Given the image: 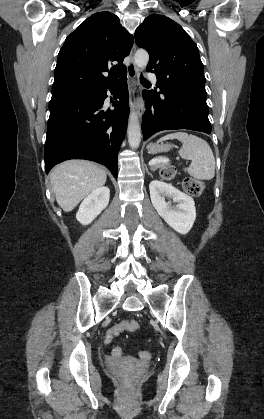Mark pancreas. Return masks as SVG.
<instances>
[{
    "instance_id": "obj_1",
    "label": "pancreas",
    "mask_w": 264,
    "mask_h": 419,
    "mask_svg": "<svg viewBox=\"0 0 264 419\" xmlns=\"http://www.w3.org/2000/svg\"><path fill=\"white\" fill-rule=\"evenodd\" d=\"M165 165H166V163H156V164L152 167V169H153V170H156V169H158V168L164 167Z\"/></svg>"
}]
</instances>
